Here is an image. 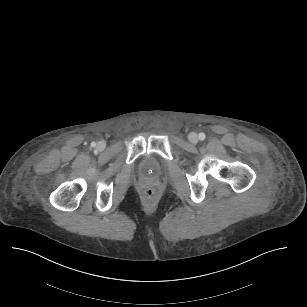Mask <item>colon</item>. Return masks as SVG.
Here are the masks:
<instances>
[{
    "mask_svg": "<svg viewBox=\"0 0 307 307\" xmlns=\"http://www.w3.org/2000/svg\"><path fill=\"white\" fill-rule=\"evenodd\" d=\"M141 196L145 200H153L157 196V189L153 185H145L141 189Z\"/></svg>",
    "mask_w": 307,
    "mask_h": 307,
    "instance_id": "1",
    "label": "colon"
}]
</instances>
